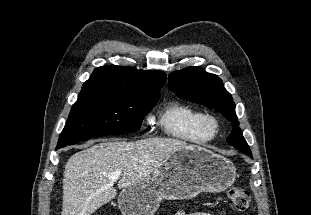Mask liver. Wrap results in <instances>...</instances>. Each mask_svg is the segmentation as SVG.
<instances>
[{
    "label": "liver",
    "mask_w": 311,
    "mask_h": 215,
    "mask_svg": "<svg viewBox=\"0 0 311 215\" xmlns=\"http://www.w3.org/2000/svg\"><path fill=\"white\" fill-rule=\"evenodd\" d=\"M188 144L171 138H146L134 142L104 140L73 154L65 165L61 215H91L114 199L119 189L148 178L165 160Z\"/></svg>",
    "instance_id": "liver-1"
}]
</instances>
